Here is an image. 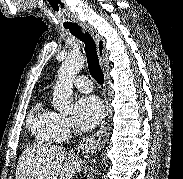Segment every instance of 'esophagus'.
<instances>
[{
    "label": "esophagus",
    "mask_w": 183,
    "mask_h": 179,
    "mask_svg": "<svg viewBox=\"0 0 183 179\" xmlns=\"http://www.w3.org/2000/svg\"><path fill=\"white\" fill-rule=\"evenodd\" d=\"M79 24L81 25V27L84 29L85 32L90 33V35L93 37V39L96 43L97 52L100 57L102 67H103V70L105 73L106 117L102 121L100 129L98 131H96L94 134H92L90 137L83 139V141L80 143V148L83 151L90 152V151H94V150L101 148L105 144L107 137L109 136L110 129H111L110 120H111V116H112V109L110 107L109 99H108V97H109V89H108L109 75H108V71H107V62L105 59V56H106L105 48H104L105 42H104L103 38L93 28L89 27L87 24L80 22V21H79Z\"/></svg>",
    "instance_id": "34e87169"
}]
</instances>
